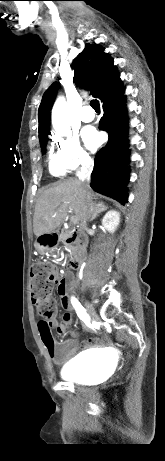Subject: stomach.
<instances>
[{
    "label": "stomach",
    "instance_id": "stomach-1",
    "mask_svg": "<svg viewBox=\"0 0 165 461\" xmlns=\"http://www.w3.org/2000/svg\"><path fill=\"white\" fill-rule=\"evenodd\" d=\"M35 246H36V249H37L39 252H41V253L46 252V248H45L43 245H41L40 243H36Z\"/></svg>",
    "mask_w": 165,
    "mask_h": 461
}]
</instances>
